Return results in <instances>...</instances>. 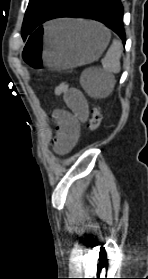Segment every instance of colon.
Wrapping results in <instances>:
<instances>
[{"label": "colon", "mask_w": 148, "mask_h": 279, "mask_svg": "<svg viewBox=\"0 0 148 279\" xmlns=\"http://www.w3.org/2000/svg\"><path fill=\"white\" fill-rule=\"evenodd\" d=\"M68 89H69L68 83H60L55 87L54 92L56 95L60 96L65 94L68 91ZM101 120H102L101 110L99 109V107L93 105L91 109V114L87 119V126L89 130L92 132L96 131L101 124Z\"/></svg>", "instance_id": "colon-1"}]
</instances>
